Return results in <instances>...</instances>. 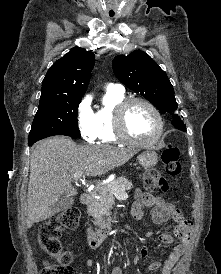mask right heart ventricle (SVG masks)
<instances>
[{"instance_id":"1","label":"right heart ventricle","mask_w":221,"mask_h":274,"mask_svg":"<svg viewBox=\"0 0 221 274\" xmlns=\"http://www.w3.org/2000/svg\"><path fill=\"white\" fill-rule=\"evenodd\" d=\"M126 99L124 91L107 89L102 105L95 113L97 123V139L101 143H118L120 139L115 133L114 114L116 107Z\"/></svg>"}]
</instances>
